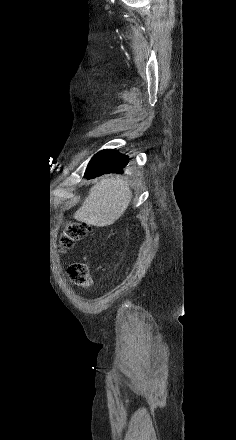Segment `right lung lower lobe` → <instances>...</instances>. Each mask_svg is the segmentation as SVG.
<instances>
[{"mask_svg": "<svg viewBox=\"0 0 236 440\" xmlns=\"http://www.w3.org/2000/svg\"><path fill=\"white\" fill-rule=\"evenodd\" d=\"M128 160V156L122 155L116 150H102L90 161L85 176L90 179L109 173L121 174L128 164Z\"/></svg>", "mask_w": 236, "mask_h": 440, "instance_id": "1", "label": "right lung lower lobe"}]
</instances>
